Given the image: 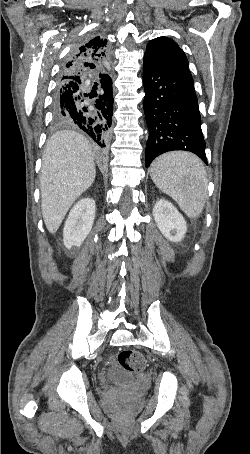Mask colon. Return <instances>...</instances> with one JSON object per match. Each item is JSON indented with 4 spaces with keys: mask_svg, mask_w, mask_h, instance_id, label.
<instances>
[{
    "mask_svg": "<svg viewBox=\"0 0 250 454\" xmlns=\"http://www.w3.org/2000/svg\"><path fill=\"white\" fill-rule=\"evenodd\" d=\"M118 363L124 370L132 373H139L146 366L144 356L140 352L131 349L122 350L118 354Z\"/></svg>",
    "mask_w": 250,
    "mask_h": 454,
    "instance_id": "obj_1",
    "label": "colon"
}]
</instances>
